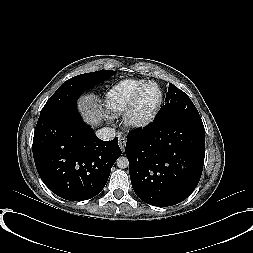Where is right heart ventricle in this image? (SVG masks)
Masks as SVG:
<instances>
[{"instance_id":"1","label":"right heart ventricle","mask_w":253,"mask_h":253,"mask_svg":"<svg viewBox=\"0 0 253 253\" xmlns=\"http://www.w3.org/2000/svg\"><path fill=\"white\" fill-rule=\"evenodd\" d=\"M146 80L128 78L114 84L106 95V107L114 113L124 112L131 103L137 89Z\"/></svg>"}]
</instances>
